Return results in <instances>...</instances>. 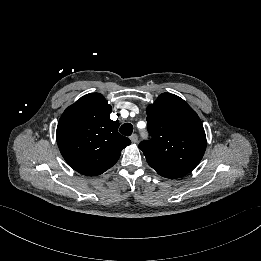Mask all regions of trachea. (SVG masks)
I'll return each mask as SVG.
<instances>
[{"instance_id": "trachea-1", "label": "trachea", "mask_w": 261, "mask_h": 261, "mask_svg": "<svg viewBox=\"0 0 261 261\" xmlns=\"http://www.w3.org/2000/svg\"><path fill=\"white\" fill-rule=\"evenodd\" d=\"M119 132L125 136H130L133 132V126L130 123H125L123 124L120 129Z\"/></svg>"}]
</instances>
